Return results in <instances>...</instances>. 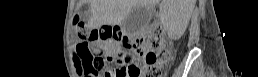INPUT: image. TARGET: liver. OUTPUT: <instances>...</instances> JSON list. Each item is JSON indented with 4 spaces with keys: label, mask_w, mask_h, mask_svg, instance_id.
Listing matches in <instances>:
<instances>
[{
    "label": "liver",
    "mask_w": 258,
    "mask_h": 77,
    "mask_svg": "<svg viewBox=\"0 0 258 77\" xmlns=\"http://www.w3.org/2000/svg\"><path fill=\"white\" fill-rule=\"evenodd\" d=\"M160 0H92L90 25L93 28L102 25H119L134 7L154 8ZM196 0H163L162 7H171L185 27L190 19Z\"/></svg>",
    "instance_id": "6515ba94"
}]
</instances>
